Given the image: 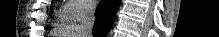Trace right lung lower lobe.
<instances>
[{"label":"right lung lower lobe","instance_id":"right-lung-lower-lobe-1","mask_svg":"<svg viewBox=\"0 0 219 37\" xmlns=\"http://www.w3.org/2000/svg\"><path fill=\"white\" fill-rule=\"evenodd\" d=\"M120 2L121 0H102L99 3L93 27L94 37H106L114 22Z\"/></svg>","mask_w":219,"mask_h":37}]
</instances>
